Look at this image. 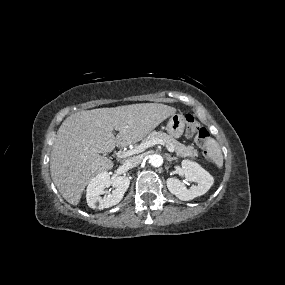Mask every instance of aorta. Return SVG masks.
<instances>
[{"mask_svg":"<svg viewBox=\"0 0 285 285\" xmlns=\"http://www.w3.org/2000/svg\"><path fill=\"white\" fill-rule=\"evenodd\" d=\"M149 163L153 167H160L163 164V157L159 154H153L149 158Z\"/></svg>","mask_w":285,"mask_h":285,"instance_id":"1","label":"aorta"}]
</instances>
